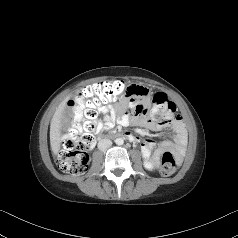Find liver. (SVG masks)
Masks as SVG:
<instances>
[{
  "label": "liver",
  "instance_id": "1",
  "mask_svg": "<svg viewBox=\"0 0 238 238\" xmlns=\"http://www.w3.org/2000/svg\"><path fill=\"white\" fill-rule=\"evenodd\" d=\"M70 96L66 97L57 107L54 116L51 120L50 125V145L52 152L57 155L60 150L61 143V118L63 116V112L66 108L67 101Z\"/></svg>",
  "mask_w": 238,
  "mask_h": 238
}]
</instances>
